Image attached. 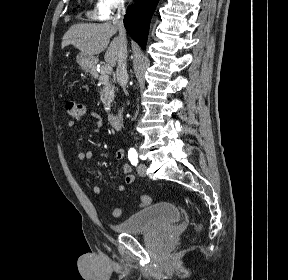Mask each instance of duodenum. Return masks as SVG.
Here are the masks:
<instances>
[{
	"mask_svg": "<svg viewBox=\"0 0 288 280\" xmlns=\"http://www.w3.org/2000/svg\"><path fill=\"white\" fill-rule=\"evenodd\" d=\"M95 72V70H94ZM108 123L116 131L121 129V121L117 114L109 113L108 114Z\"/></svg>",
	"mask_w": 288,
	"mask_h": 280,
	"instance_id": "1",
	"label": "duodenum"
}]
</instances>
